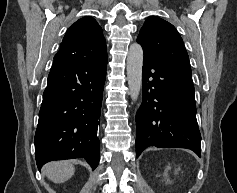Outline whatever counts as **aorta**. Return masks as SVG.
Returning <instances> with one entry per match:
<instances>
[{
    "instance_id": "1",
    "label": "aorta",
    "mask_w": 237,
    "mask_h": 193,
    "mask_svg": "<svg viewBox=\"0 0 237 193\" xmlns=\"http://www.w3.org/2000/svg\"><path fill=\"white\" fill-rule=\"evenodd\" d=\"M143 49L140 44L133 43L127 56V81L129 94L133 101L138 99L142 87Z\"/></svg>"
}]
</instances>
